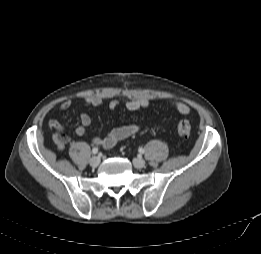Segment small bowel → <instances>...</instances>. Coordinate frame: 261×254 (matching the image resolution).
Segmentation results:
<instances>
[{
    "label": "small bowel",
    "mask_w": 261,
    "mask_h": 254,
    "mask_svg": "<svg viewBox=\"0 0 261 254\" xmlns=\"http://www.w3.org/2000/svg\"><path fill=\"white\" fill-rule=\"evenodd\" d=\"M102 103V98L99 96H88L84 99V104L87 107L99 106ZM168 106L177 110L181 114H188L190 112V107L180 101L168 100ZM72 106V101L66 100L59 106L60 112H65L69 110ZM119 106V101L116 99H111L108 103V108L110 110H115ZM150 106V100L146 98L132 99L126 103V108L130 111H138L141 109H146ZM92 120L89 114L81 113L80 115V125L75 129V134L78 136H84L86 134V129L90 126ZM50 128L55 129L57 132L56 139L60 144L66 143L68 138L64 135L65 127L63 124L59 123L55 119H51L48 122ZM140 126L138 125H125L112 129L107 133L104 138L93 137L91 139L92 143L95 145H101L104 148H112L118 142L126 139L137 132L140 131Z\"/></svg>",
    "instance_id": "small-bowel-1"
}]
</instances>
